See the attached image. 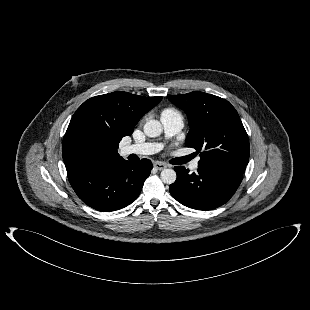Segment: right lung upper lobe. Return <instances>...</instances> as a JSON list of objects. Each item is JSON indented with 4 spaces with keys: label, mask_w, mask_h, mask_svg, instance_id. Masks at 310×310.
I'll return each instance as SVG.
<instances>
[{
    "label": "right lung upper lobe",
    "mask_w": 310,
    "mask_h": 310,
    "mask_svg": "<svg viewBox=\"0 0 310 310\" xmlns=\"http://www.w3.org/2000/svg\"><path fill=\"white\" fill-rule=\"evenodd\" d=\"M161 99L118 91L85 101L73 115L64 135L62 155L67 172L123 159L117 153L119 142L133 133L140 118ZM83 134L94 138L93 146L88 150L76 146L77 138Z\"/></svg>",
    "instance_id": "cb5924a9"
}]
</instances>
